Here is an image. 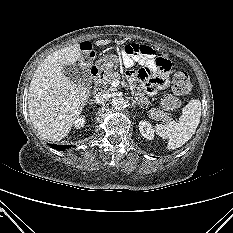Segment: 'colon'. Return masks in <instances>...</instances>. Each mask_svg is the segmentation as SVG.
I'll use <instances>...</instances> for the list:
<instances>
[{
	"label": "colon",
	"mask_w": 233,
	"mask_h": 233,
	"mask_svg": "<svg viewBox=\"0 0 233 233\" xmlns=\"http://www.w3.org/2000/svg\"><path fill=\"white\" fill-rule=\"evenodd\" d=\"M190 80L188 74L184 71L177 72L172 80V89L176 94H185L190 90ZM162 105L167 109H176L181 105L180 100L170 94L164 95Z\"/></svg>",
	"instance_id": "5ec220e1"
}]
</instances>
